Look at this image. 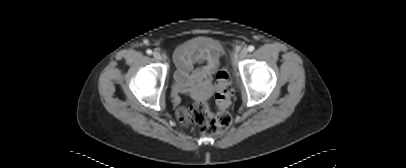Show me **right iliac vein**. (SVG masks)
<instances>
[{
    "mask_svg": "<svg viewBox=\"0 0 406 168\" xmlns=\"http://www.w3.org/2000/svg\"><path fill=\"white\" fill-rule=\"evenodd\" d=\"M153 57L158 61L162 60V55L158 51L153 53Z\"/></svg>",
    "mask_w": 406,
    "mask_h": 168,
    "instance_id": "right-iliac-vein-1",
    "label": "right iliac vein"
}]
</instances>
